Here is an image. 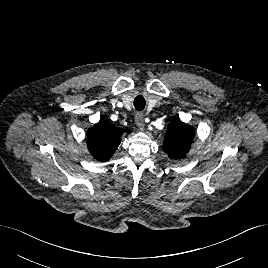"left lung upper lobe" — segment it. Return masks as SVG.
I'll return each mask as SVG.
<instances>
[{
    "label": "left lung upper lobe",
    "mask_w": 268,
    "mask_h": 268,
    "mask_svg": "<svg viewBox=\"0 0 268 268\" xmlns=\"http://www.w3.org/2000/svg\"><path fill=\"white\" fill-rule=\"evenodd\" d=\"M194 135L192 127L173 121L167 128L162 148L171 159H181L188 152Z\"/></svg>",
    "instance_id": "5c2ea615"
}]
</instances>
